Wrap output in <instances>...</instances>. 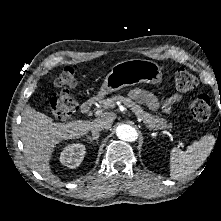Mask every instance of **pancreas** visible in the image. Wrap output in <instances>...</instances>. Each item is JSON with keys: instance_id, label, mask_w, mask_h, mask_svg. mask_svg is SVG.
Wrapping results in <instances>:
<instances>
[{"instance_id": "obj_1", "label": "pancreas", "mask_w": 221, "mask_h": 221, "mask_svg": "<svg viewBox=\"0 0 221 221\" xmlns=\"http://www.w3.org/2000/svg\"><path fill=\"white\" fill-rule=\"evenodd\" d=\"M117 101L123 103L126 107L130 108L132 112L138 118H140L149 129L161 130L171 127V124H167L165 119L145 112L140 105L136 104L130 98L123 97L121 95H116L111 98L102 100L100 101V104L104 108H112L115 106V103Z\"/></svg>"}]
</instances>
